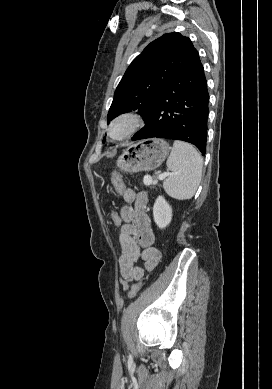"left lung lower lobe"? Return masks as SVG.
Wrapping results in <instances>:
<instances>
[{"mask_svg":"<svg viewBox=\"0 0 272 389\" xmlns=\"http://www.w3.org/2000/svg\"><path fill=\"white\" fill-rule=\"evenodd\" d=\"M209 94L204 68L197 54L162 90L145 126L132 140L168 138L194 144L206 152Z\"/></svg>","mask_w":272,"mask_h":389,"instance_id":"1","label":"left lung lower lobe"}]
</instances>
